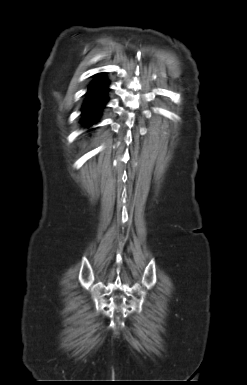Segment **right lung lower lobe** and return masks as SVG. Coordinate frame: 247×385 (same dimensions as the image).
Segmentation results:
<instances>
[{
  "label": "right lung lower lobe",
  "mask_w": 247,
  "mask_h": 385,
  "mask_svg": "<svg viewBox=\"0 0 247 385\" xmlns=\"http://www.w3.org/2000/svg\"><path fill=\"white\" fill-rule=\"evenodd\" d=\"M108 84L106 77L99 74L88 87L80 120L88 128L98 121L101 110L107 103Z\"/></svg>",
  "instance_id": "1"
}]
</instances>
